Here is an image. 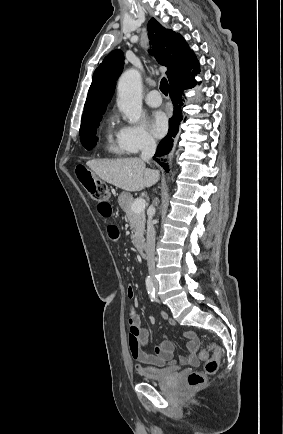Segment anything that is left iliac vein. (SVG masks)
Segmentation results:
<instances>
[{
  "label": "left iliac vein",
  "instance_id": "4c4485c4",
  "mask_svg": "<svg viewBox=\"0 0 283 434\" xmlns=\"http://www.w3.org/2000/svg\"><path fill=\"white\" fill-rule=\"evenodd\" d=\"M154 286H155V290H156V293H157V290H158V284H157L156 281L154 282Z\"/></svg>",
  "mask_w": 283,
  "mask_h": 434
}]
</instances>
